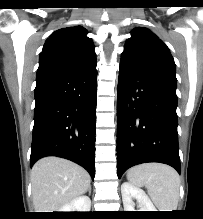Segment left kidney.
<instances>
[{"mask_svg": "<svg viewBox=\"0 0 203 219\" xmlns=\"http://www.w3.org/2000/svg\"><path fill=\"white\" fill-rule=\"evenodd\" d=\"M121 193L125 211H136L132 198H135L139 204L140 209L138 211H156L149 197L139 187L129 182H124L121 185Z\"/></svg>", "mask_w": 203, "mask_h": 219, "instance_id": "obj_1", "label": "left kidney"}]
</instances>
